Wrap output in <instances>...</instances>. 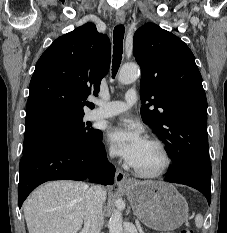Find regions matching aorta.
Segmentation results:
<instances>
[{
  "label": "aorta",
  "instance_id": "aorta-1",
  "mask_svg": "<svg viewBox=\"0 0 227 233\" xmlns=\"http://www.w3.org/2000/svg\"><path fill=\"white\" fill-rule=\"evenodd\" d=\"M140 68L136 64L124 65L118 74V81L122 84H130L138 79ZM122 213L119 210H114L108 223L109 233H123Z\"/></svg>",
  "mask_w": 227,
  "mask_h": 233
}]
</instances>
